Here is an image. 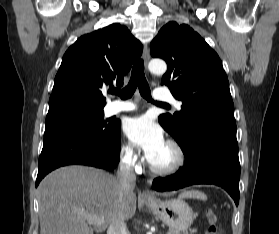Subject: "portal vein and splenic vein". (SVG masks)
I'll list each match as a JSON object with an SVG mask.
<instances>
[{"label":"portal vein and splenic vein","mask_w":279,"mask_h":234,"mask_svg":"<svg viewBox=\"0 0 279 234\" xmlns=\"http://www.w3.org/2000/svg\"><path fill=\"white\" fill-rule=\"evenodd\" d=\"M86 219L91 224H101L103 221L95 216L92 215H86ZM196 229H193V232H196Z\"/></svg>","instance_id":"obj_1"}]
</instances>
